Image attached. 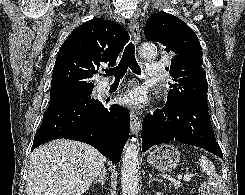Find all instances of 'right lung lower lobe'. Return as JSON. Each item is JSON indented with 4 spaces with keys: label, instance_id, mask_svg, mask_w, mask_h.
I'll use <instances>...</instances> for the list:
<instances>
[{
    "label": "right lung lower lobe",
    "instance_id": "98d812e1",
    "mask_svg": "<svg viewBox=\"0 0 245 195\" xmlns=\"http://www.w3.org/2000/svg\"><path fill=\"white\" fill-rule=\"evenodd\" d=\"M89 95L50 101L31 150L44 142L66 138L85 142L112 162H119L130 131L125 107L106 106Z\"/></svg>",
    "mask_w": 245,
    "mask_h": 195
}]
</instances>
